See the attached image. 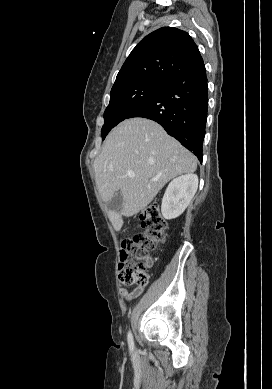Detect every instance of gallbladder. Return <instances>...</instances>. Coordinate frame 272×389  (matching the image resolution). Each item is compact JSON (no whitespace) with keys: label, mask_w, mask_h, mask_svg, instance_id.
<instances>
[{"label":"gallbladder","mask_w":272,"mask_h":389,"mask_svg":"<svg viewBox=\"0 0 272 389\" xmlns=\"http://www.w3.org/2000/svg\"><path fill=\"white\" fill-rule=\"evenodd\" d=\"M123 206V196L121 192H117L112 199L107 202V208L110 211H119Z\"/></svg>","instance_id":"bac80fb5"}]
</instances>
